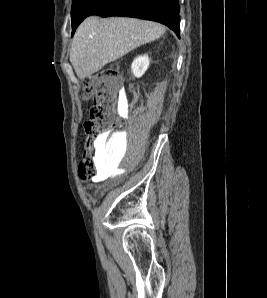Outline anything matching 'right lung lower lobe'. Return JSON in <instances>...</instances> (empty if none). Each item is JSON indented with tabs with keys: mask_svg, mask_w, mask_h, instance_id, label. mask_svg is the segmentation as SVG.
Listing matches in <instances>:
<instances>
[{
	"mask_svg": "<svg viewBox=\"0 0 267 298\" xmlns=\"http://www.w3.org/2000/svg\"><path fill=\"white\" fill-rule=\"evenodd\" d=\"M179 9L178 0H101L90 15L152 20L168 26L179 37Z\"/></svg>",
	"mask_w": 267,
	"mask_h": 298,
	"instance_id": "obj_1",
	"label": "right lung lower lobe"
}]
</instances>
